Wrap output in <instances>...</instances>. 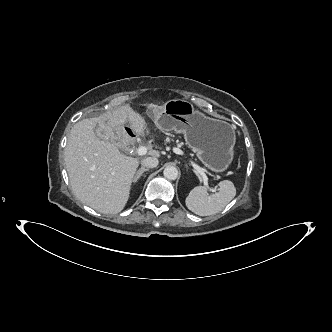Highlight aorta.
<instances>
[{
	"mask_svg": "<svg viewBox=\"0 0 332 332\" xmlns=\"http://www.w3.org/2000/svg\"><path fill=\"white\" fill-rule=\"evenodd\" d=\"M163 175L168 180H175L178 177V169L174 166H167L163 171Z\"/></svg>",
	"mask_w": 332,
	"mask_h": 332,
	"instance_id": "aorta-1",
	"label": "aorta"
}]
</instances>
